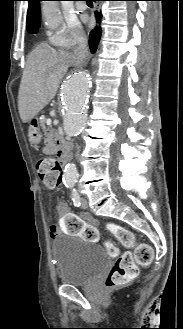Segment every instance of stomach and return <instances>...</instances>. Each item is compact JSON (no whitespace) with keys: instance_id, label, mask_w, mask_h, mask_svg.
I'll return each mask as SVG.
<instances>
[{"instance_id":"0dacf381","label":"stomach","mask_w":183,"mask_h":329,"mask_svg":"<svg viewBox=\"0 0 183 329\" xmlns=\"http://www.w3.org/2000/svg\"><path fill=\"white\" fill-rule=\"evenodd\" d=\"M29 140L32 144H38L41 141V132L36 124L30 122L28 129Z\"/></svg>"}]
</instances>
